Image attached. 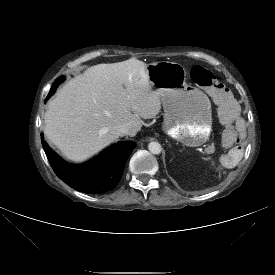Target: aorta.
Returning a JSON list of instances; mask_svg holds the SVG:
<instances>
[{
    "instance_id": "762f6f07",
    "label": "aorta",
    "mask_w": 275,
    "mask_h": 275,
    "mask_svg": "<svg viewBox=\"0 0 275 275\" xmlns=\"http://www.w3.org/2000/svg\"><path fill=\"white\" fill-rule=\"evenodd\" d=\"M148 149L152 154H160L162 147L158 142H150L148 145Z\"/></svg>"
}]
</instances>
